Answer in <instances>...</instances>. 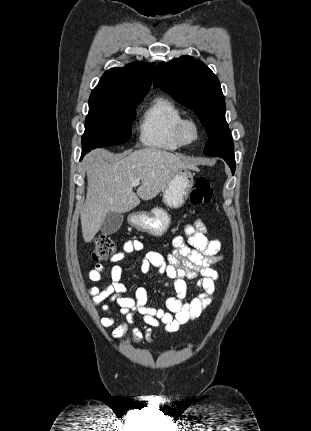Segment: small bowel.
I'll use <instances>...</instances> for the list:
<instances>
[{
  "label": "small bowel",
  "mask_w": 311,
  "mask_h": 431,
  "mask_svg": "<svg viewBox=\"0 0 311 431\" xmlns=\"http://www.w3.org/2000/svg\"><path fill=\"white\" fill-rule=\"evenodd\" d=\"M187 236H176L172 241V251L166 257L155 251L145 252L141 259L143 273L150 274L157 269L160 275L166 277V287L175 295L166 299V310L149 307L147 303V291L143 287L135 289L134 297H126V287L121 283L122 268L114 264L110 271L111 283L104 288L97 286L88 289L92 297V303L100 306L107 315L100 319L104 327H111L114 319L111 316L110 303L114 302L120 307V313L124 320L113 329L111 335L114 339L121 338L135 321V315H139L142 325L146 329V337L152 339L149 327L164 326L169 333L180 331L188 322L198 318L212 302L216 290V282L219 274L215 265L222 259L220 255L221 242L217 239H209L205 225L200 220L184 227ZM144 245L140 241L132 240L123 244V250L111 259L117 263L126 259L127 254L143 250ZM104 265L96 264L88 272L91 282H100L103 279ZM196 280V287L200 290L191 300L186 299V280ZM134 340L142 338L139 328L132 330Z\"/></svg>",
  "instance_id": "c3829d8e"
}]
</instances>
